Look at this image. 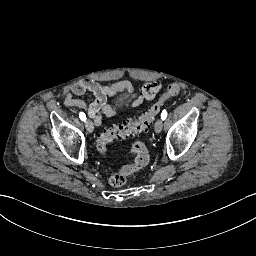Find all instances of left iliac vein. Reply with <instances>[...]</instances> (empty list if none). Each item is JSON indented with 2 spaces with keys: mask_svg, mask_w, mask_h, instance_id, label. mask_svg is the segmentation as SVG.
Segmentation results:
<instances>
[{
  "mask_svg": "<svg viewBox=\"0 0 256 256\" xmlns=\"http://www.w3.org/2000/svg\"><path fill=\"white\" fill-rule=\"evenodd\" d=\"M162 126H163V120L157 119L155 122V132L160 133L162 131Z\"/></svg>",
  "mask_w": 256,
  "mask_h": 256,
  "instance_id": "4c4485c4",
  "label": "left iliac vein"
}]
</instances>
